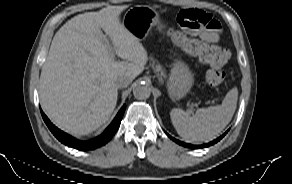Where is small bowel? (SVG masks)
<instances>
[{
    "instance_id": "small-bowel-1",
    "label": "small bowel",
    "mask_w": 292,
    "mask_h": 184,
    "mask_svg": "<svg viewBox=\"0 0 292 184\" xmlns=\"http://www.w3.org/2000/svg\"><path fill=\"white\" fill-rule=\"evenodd\" d=\"M219 31L220 29L218 30L201 29L195 34L201 36L204 40L208 42H217L219 39Z\"/></svg>"
}]
</instances>
